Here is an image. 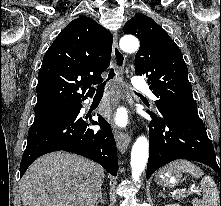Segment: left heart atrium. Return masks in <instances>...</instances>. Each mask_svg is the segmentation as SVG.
Wrapping results in <instances>:
<instances>
[{
  "mask_svg": "<svg viewBox=\"0 0 221 206\" xmlns=\"http://www.w3.org/2000/svg\"><path fill=\"white\" fill-rule=\"evenodd\" d=\"M114 121L116 124L118 125H124L125 122H126V119H125V115L123 113H118L115 118H114Z\"/></svg>",
  "mask_w": 221,
  "mask_h": 206,
  "instance_id": "39dd6f15",
  "label": "left heart atrium"
}]
</instances>
